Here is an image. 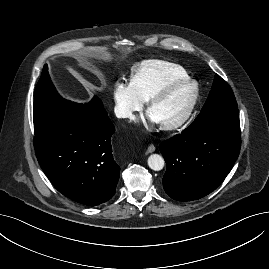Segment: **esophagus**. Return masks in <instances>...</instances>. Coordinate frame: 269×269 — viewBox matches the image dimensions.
<instances>
[{
  "label": "esophagus",
  "mask_w": 269,
  "mask_h": 269,
  "mask_svg": "<svg viewBox=\"0 0 269 269\" xmlns=\"http://www.w3.org/2000/svg\"><path fill=\"white\" fill-rule=\"evenodd\" d=\"M155 151V146L154 145H149L147 150H146V153L149 154V153H152Z\"/></svg>",
  "instance_id": "obj_1"
}]
</instances>
